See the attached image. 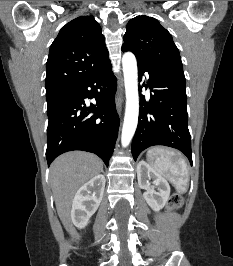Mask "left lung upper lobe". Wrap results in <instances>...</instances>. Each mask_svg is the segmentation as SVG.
Returning <instances> with one entry per match:
<instances>
[{
	"mask_svg": "<svg viewBox=\"0 0 233 266\" xmlns=\"http://www.w3.org/2000/svg\"><path fill=\"white\" fill-rule=\"evenodd\" d=\"M122 51L135 54L138 64L153 69L173 68L183 71L179 50L171 34L148 16H137L126 26Z\"/></svg>",
	"mask_w": 233,
	"mask_h": 266,
	"instance_id": "1",
	"label": "left lung upper lobe"
}]
</instances>
